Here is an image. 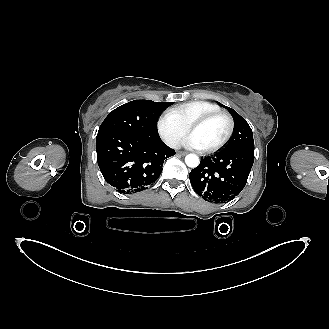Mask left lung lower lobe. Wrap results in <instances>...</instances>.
Wrapping results in <instances>:
<instances>
[{
    "label": "left lung lower lobe",
    "mask_w": 329,
    "mask_h": 329,
    "mask_svg": "<svg viewBox=\"0 0 329 329\" xmlns=\"http://www.w3.org/2000/svg\"><path fill=\"white\" fill-rule=\"evenodd\" d=\"M254 162V150L220 151L201 159L190 174L196 193L206 201L225 203L243 190Z\"/></svg>",
    "instance_id": "obj_1"
}]
</instances>
